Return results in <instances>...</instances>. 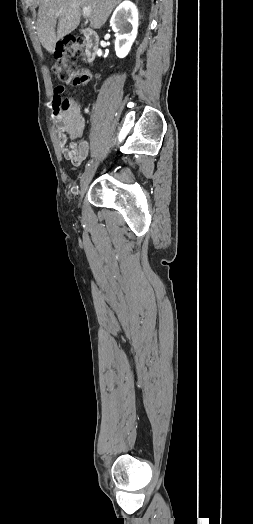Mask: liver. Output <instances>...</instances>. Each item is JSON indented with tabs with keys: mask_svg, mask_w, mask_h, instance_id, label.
Segmentation results:
<instances>
[{
	"mask_svg": "<svg viewBox=\"0 0 253 524\" xmlns=\"http://www.w3.org/2000/svg\"><path fill=\"white\" fill-rule=\"evenodd\" d=\"M122 0H39L37 35L42 46L54 52L56 42L77 28L81 7H90V27L101 28ZM58 26L56 31V23Z\"/></svg>",
	"mask_w": 253,
	"mask_h": 524,
	"instance_id": "obj_1",
	"label": "liver"
}]
</instances>
